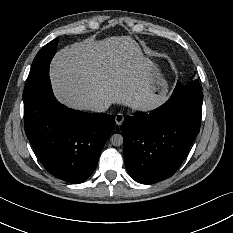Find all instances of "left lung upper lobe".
<instances>
[{"instance_id":"left-lung-upper-lobe-1","label":"left lung upper lobe","mask_w":233,"mask_h":233,"mask_svg":"<svg viewBox=\"0 0 233 233\" xmlns=\"http://www.w3.org/2000/svg\"><path fill=\"white\" fill-rule=\"evenodd\" d=\"M178 86L181 88H188V89H194V90H201L200 84L198 80H195L193 82H188L187 84H181L180 82L177 83Z\"/></svg>"}]
</instances>
